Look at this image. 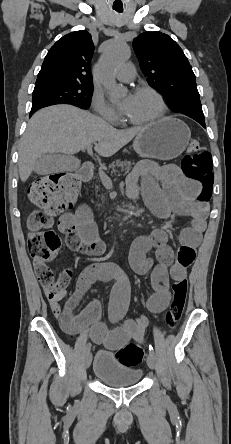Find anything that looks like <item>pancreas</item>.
Here are the masks:
<instances>
[{"label": "pancreas", "instance_id": "1", "mask_svg": "<svg viewBox=\"0 0 231 444\" xmlns=\"http://www.w3.org/2000/svg\"><path fill=\"white\" fill-rule=\"evenodd\" d=\"M132 162L131 161H121V160H116L115 162H112L109 165V169L111 170V173H116L118 172V170H126L127 172H129L132 169Z\"/></svg>", "mask_w": 231, "mask_h": 444}]
</instances>
